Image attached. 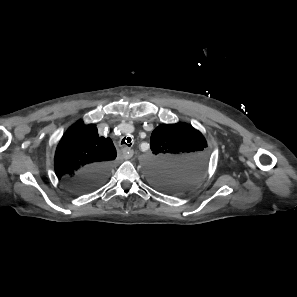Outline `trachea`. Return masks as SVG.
Wrapping results in <instances>:
<instances>
[{
  "label": "trachea",
  "instance_id": "3493384b",
  "mask_svg": "<svg viewBox=\"0 0 297 297\" xmlns=\"http://www.w3.org/2000/svg\"><path fill=\"white\" fill-rule=\"evenodd\" d=\"M121 144H122V145H127V146L130 147V146H131V138H130V137H127V138L125 137V138H123L122 141H121Z\"/></svg>",
  "mask_w": 297,
  "mask_h": 297
}]
</instances>
